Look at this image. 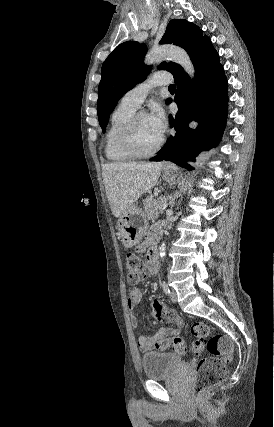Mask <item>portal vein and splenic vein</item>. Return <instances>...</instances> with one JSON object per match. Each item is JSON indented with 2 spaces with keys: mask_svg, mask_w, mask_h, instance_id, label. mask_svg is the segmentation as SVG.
<instances>
[{
  "mask_svg": "<svg viewBox=\"0 0 274 427\" xmlns=\"http://www.w3.org/2000/svg\"><path fill=\"white\" fill-rule=\"evenodd\" d=\"M165 208H167V204H163V206H161L160 210H165Z\"/></svg>",
  "mask_w": 274,
  "mask_h": 427,
  "instance_id": "obj_1",
  "label": "portal vein and splenic vein"
}]
</instances>
